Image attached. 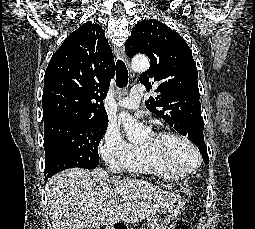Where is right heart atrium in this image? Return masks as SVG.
<instances>
[{
    "mask_svg": "<svg viewBox=\"0 0 255 229\" xmlns=\"http://www.w3.org/2000/svg\"><path fill=\"white\" fill-rule=\"evenodd\" d=\"M100 155L108 168L114 171L124 170L129 158L131 145L124 139L116 127H108L99 147Z\"/></svg>",
    "mask_w": 255,
    "mask_h": 229,
    "instance_id": "1",
    "label": "right heart atrium"
}]
</instances>
